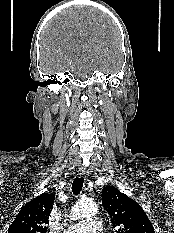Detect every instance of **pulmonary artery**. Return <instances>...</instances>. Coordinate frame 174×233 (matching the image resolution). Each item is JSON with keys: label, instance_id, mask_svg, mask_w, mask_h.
<instances>
[{"label": "pulmonary artery", "instance_id": "obj_1", "mask_svg": "<svg viewBox=\"0 0 174 233\" xmlns=\"http://www.w3.org/2000/svg\"><path fill=\"white\" fill-rule=\"evenodd\" d=\"M102 222L96 218H89L67 228L66 233H101Z\"/></svg>", "mask_w": 174, "mask_h": 233}]
</instances>
